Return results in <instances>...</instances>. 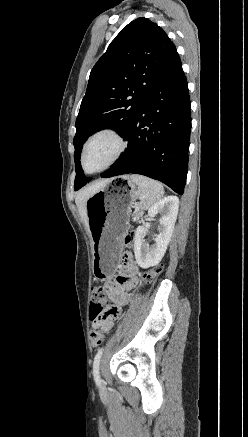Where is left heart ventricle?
<instances>
[{
    "mask_svg": "<svg viewBox=\"0 0 248 437\" xmlns=\"http://www.w3.org/2000/svg\"><path fill=\"white\" fill-rule=\"evenodd\" d=\"M117 142L108 135L94 139L88 146L85 155L87 170L93 171L102 167L113 156L117 149Z\"/></svg>",
    "mask_w": 248,
    "mask_h": 437,
    "instance_id": "b2bd125f",
    "label": "left heart ventricle"
}]
</instances>
